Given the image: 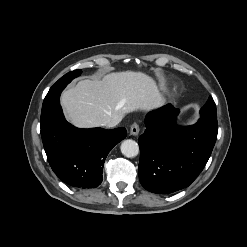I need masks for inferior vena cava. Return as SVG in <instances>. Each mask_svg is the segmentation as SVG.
Listing matches in <instances>:
<instances>
[{"label": "inferior vena cava", "instance_id": "602c4592", "mask_svg": "<svg viewBox=\"0 0 247 247\" xmlns=\"http://www.w3.org/2000/svg\"><path fill=\"white\" fill-rule=\"evenodd\" d=\"M121 120H122L121 118L114 119L107 124V127H114L117 124H119L121 122Z\"/></svg>", "mask_w": 247, "mask_h": 247}]
</instances>
